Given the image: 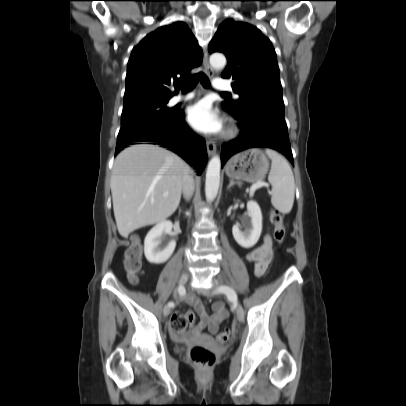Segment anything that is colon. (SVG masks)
Listing matches in <instances>:
<instances>
[{"label":"colon","mask_w":406,"mask_h":406,"mask_svg":"<svg viewBox=\"0 0 406 406\" xmlns=\"http://www.w3.org/2000/svg\"><path fill=\"white\" fill-rule=\"evenodd\" d=\"M270 222L274 227L273 238L277 244H281L286 234V223L284 216L278 210L270 211ZM124 268L126 270L128 279L131 282L138 281L142 271V247L140 243L134 241L125 251ZM194 321V315L192 313L175 312L170 318V327L173 331H184ZM217 341L220 344H226L231 340V336L228 332H221L217 335ZM191 361L199 367L207 368L214 364V353L203 346H194L189 354Z\"/></svg>","instance_id":"obj_1"}]
</instances>
